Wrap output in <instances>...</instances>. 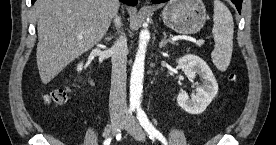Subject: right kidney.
Wrapping results in <instances>:
<instances>
[{"label":"right kidney","mask_w":276,"mask_h":145,"mask_svg":"<svg viewBox=\"0 0 276 145\" xmlns=\"http://www.w3.org/2000/svg\"><path fill=\"white\" fill-rule=\"evenodd\" d=\"M82 69H83V63H79L77 65V71L80 72V71H82Z\"/></svg>","instance_id":"1"}]
</instances>
